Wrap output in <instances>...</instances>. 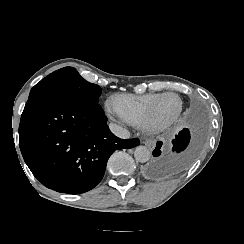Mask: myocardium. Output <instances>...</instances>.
I'll return each instance as SVG.
<instances>
[{
    "mask_svg": "<svg viewBox=\"0 0 244 244\" xmlns=\"http://www.w3.org/2000/svg\"><path fill=\"white\" fill-rule=\"evenodd\" d=\"M166 96H173L176 100H177V107L176 109L172 112L171 116L167 119H164V121L162 122L161 126L159 127V129H165L166 127H168L176 118L177 114L180 112L181 107H182V100L179 97L178 94H176L175 92H164L161 93L159 95L156 96V98L151 102V104L148 107V111L149 114L153 117L155 115L156 112L160 111V109L155 108L153 109V106L159 102L160 99H162L163 97Z\"/></svg>",
    "mask_w": 244,
    "mask_h": 244,
    "instance_id": "obj_1",
    "label": "myocardium"
}]
</instances>
